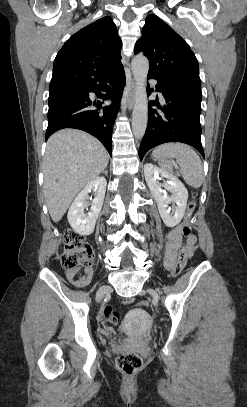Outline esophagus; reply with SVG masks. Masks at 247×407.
Returning a JSON list of instances; mask_svg holds the SVG:
<instances>
[{
    "label": "esophagus",
    "instance_id": "obj_1",
    "mask_svg": "<svg viewBox=\"0 0 247 407\" xmlns=\"http://www.w3.org/2000/svg\"><path fill=\"white\" fill-rule=\"evenodd\" d=\"M135 101V82L132 79L130 83V90L124 94L122 102L127 105L129 109H132Z\"/></svg>",
    "mask_w": 247,
    "mask_h": 407
}]
</instances>
